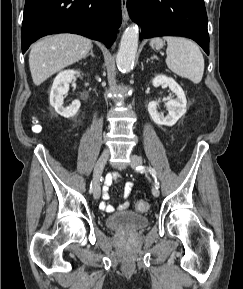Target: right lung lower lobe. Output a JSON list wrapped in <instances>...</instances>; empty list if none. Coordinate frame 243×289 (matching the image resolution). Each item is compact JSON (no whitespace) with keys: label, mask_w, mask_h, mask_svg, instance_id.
Returning a JSON list of instances; mask_svg holds the SVG:
<instances>
[{"label":"right lung lower lobe","mask_w":243,"mask_h":289,"mask_svg":"<svg viewBox=\"0 0 243 289\" xmlns=\"http://www.w3.org/2000/svg\"><path fill=\"white\" fill-rule=\"evenodd\" d=\"M121 0H26L22 52L49 34L74 33L110 48L121 24Z\"/></svg>","instance_id":"98d812e1"}]
</instances>
